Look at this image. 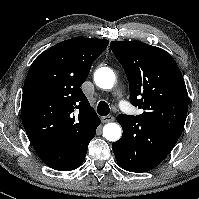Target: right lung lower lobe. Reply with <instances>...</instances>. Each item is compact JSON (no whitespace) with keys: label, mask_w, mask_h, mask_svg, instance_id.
Returning <instances> with one entry per match:
<instances>
[{"label":"right lung lower lobe","mask_w":199,"mask_h":199,"mask_svg":"<svg viewBox=\"0 0 199 199\" xmlns=\"http://www.w3.org/2000/svg\"><path fill=\"white\" fill-rule=\"evenodd\" d=\"M97 128V127H96ZM96 129L85 136L83 139H79L73 142H69L65 146V150L68 155L64 158L54 159V157L43 156L41 159L46 163L49 167L58 171H70L78 168L86 157L87 148L89 142L94 138Z\"/></svg>","instance_id":"1"}]
</instances>
